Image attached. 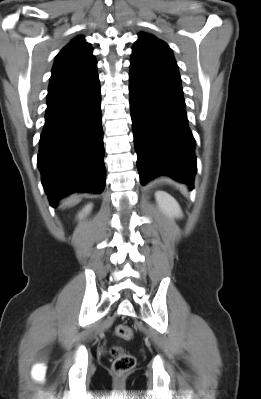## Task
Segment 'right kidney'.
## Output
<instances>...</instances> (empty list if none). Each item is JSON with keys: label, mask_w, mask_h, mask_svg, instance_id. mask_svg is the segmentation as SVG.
<instances>
[{"label": "right kidney", "mask_w": 261, "mask_h": 399, "mask_svg": "<svg viewBox=\"0 0 261 399\" xmlns=\"http://www.w3.org/2000/svg\"><path fill=\"white\" fill-rule=\"evenodd\" d=\"M92 209V204L87 205L82 212L79 213V218H82L84 215L88 214Z\"/></svg>", "instance_id": "ca27d5eb"}]
</instances>
